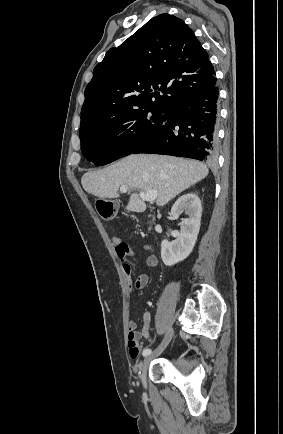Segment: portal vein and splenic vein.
I'll return each instance as SVG.
<instances>
[{
    "mask_svg": "<svg viewBox=\"0 0 283 434\" xmlns=\"http://www.w3.org/2000/svg\"><path fill=\"white\" fill-rule=\"evenodd\" d=\"M120 190H121V192H127L128 187L125 185H122V186H120ZM139 195L143 200H145L147 202H152L157 198V192L155 190H150L146 193L140 192Z\"/></svg>",
    "mask_w": 283,
    "mask_h": 434,
    "instance_id": "1",
    "label": "portal vein and splenic vein"
}]
</instances>
